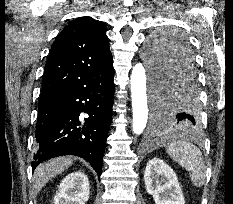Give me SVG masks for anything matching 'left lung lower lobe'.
<instances>
[{"mask_svg":"<svg viewBox=\"0 0 233 204\" xmlns=\"http://www.w3.org/2000/svg\"><path fill=\"white\" fill-rule=\"evenodd\" d=\"M171 65L153 78L154 91V118L151 123L150 140L165 133L173 131H186L197 133L200 130V117L190 118L180 111L184 103L190 107L200 109L199 87L195 62L192 57L182 53L170 58ZM166 104V112L160 110V106ZM190 118L192 127H187L184 122Z\"/></svg>","mask_w":233,"mask_h":204,"instance_id":"obj_1","label":"left lung lower lobe"}]
</instances>
